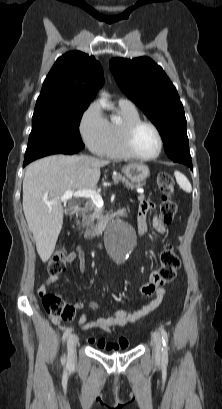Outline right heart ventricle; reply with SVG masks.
I'll return each mask as SVG.
<instances>
[{
  "mask_svg": "<svg viewBox=\"0 0 222 409\" xmlns=\"http://www.w3.org/2000/svg\"><path fill=\"white\" fill-rule=\"evenodd\" d=\"M117 112L120 120L108 122V137L99 154L114 159H125L129 158V156L122 146V132L128 123L140 119V114L135 106H126L119 103Z\"/></svg>",
  "mask_w": 222,
  "mask_h": 409,
  "instance_id": "1",
  "label": "right heart ventricle"
}]
</instances>
